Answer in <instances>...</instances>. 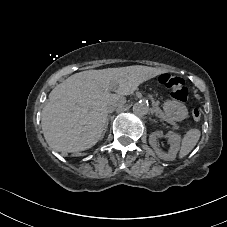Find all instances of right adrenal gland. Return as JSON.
Wrapping results in <instances>:
<instances>
[{"mask_svg":"<svg viewBox=\"0 0 227 227\" xmlns=\"http://www.w3.org/2000/svg\"><path fill=\"white\" fill-rule=\"evenodd\" d=\"M108 121H109V118H107V123L105 124V130H104V133L107 131ZM103 136H104V135H102V137H103Z\"/></svg>","mask_w":227,"mask_h":227,"instance_id":"2a0ac1e0","label":"right adrenal gland"}]
</instances>
